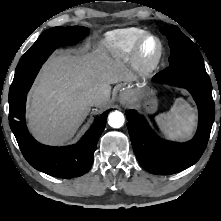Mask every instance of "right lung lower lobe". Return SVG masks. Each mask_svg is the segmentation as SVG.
Masks as SVG:
<instances>
[{"label": "right lung lower lobe", "instance_id": "1", "mask_svg": "<svg viewBox=\"0 0 221 221\" xmlns=\"http://www.w3.org/2000/svg\"><path fill=\"white\" fill-rule=\"evenodd\" d=\"M26 94L9 103V123L20 150L35 169L60 178L78 177L90 169L108 113L104 112L75 145L49 147L35 141L25 122Z\"/></svg>", "mask_w": 221, "mask_h": 221}]
</instances>
